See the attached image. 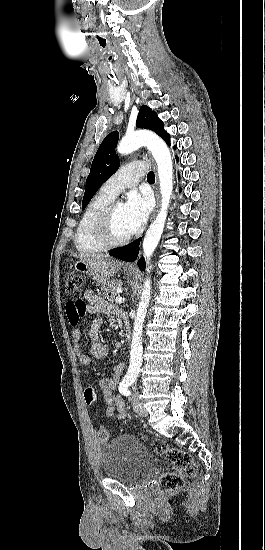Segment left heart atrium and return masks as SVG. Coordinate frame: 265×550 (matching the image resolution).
<instances>
[{
    "mask_svg": "<svg viewBox=\"0 0 265 550\" xmlns=\"http://www.w3.org/2000/svg\"><path fill=\"white\" fill-rule=\"evenodd\" d=\"M124 210L130 232H137L148 219L151 211V199L148 195L132 192L128 195Z\"/></svg>",
    "mask_w": 265,
    "mask_h": 550,
    "instance_id": "39dd6f15",
    "label": "left heart atrium"
}]
</instances>
